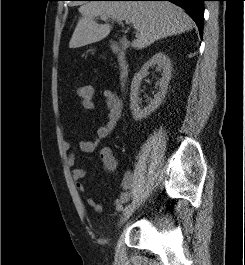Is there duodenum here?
Masks as SVG:
<instances>
[{
  "mask_svg": "<svg viewBox=\"0 0 245 265\" xmlns=\"http://www.w3.org/2000/svg\"><path fill=\"white\" fill-rule=\"evenodd\" d=\"M112 51L117 59L119 80L121 84L124 85L127 82L130 72L127 52L124 47L118 43L112 44Z\"/></svg>",
  "mask_w": 245,
  "mask_h": 265,
  "instance_id": "duodenum-1",
  "label": "duodenum"
}]
</instances>
